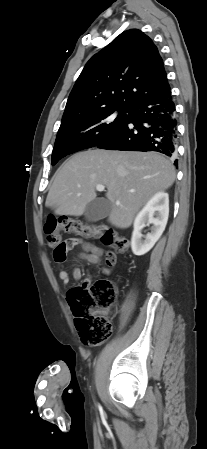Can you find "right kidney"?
I'll use <instances>...</instances> for the list:
<instances>
[{
  "instance_id": "1",
  "label": "right kidney",
  "mask_w": 207,
  "mask_h": 449,
  "mask_svg": "<svg viewBox=\"0 0 207 449\" xmlns=\"http://www.w3.org/2000/svg\"><path fill=\"white\" fill-rule=\"evenodd\" d=\"M169 216V196L166 192L156 193L138 213L134 220L131 248L135 255L146 254L161 237ZM152 224L151 232L142 240V229Z\"/></svg>"
}]
</instances>
